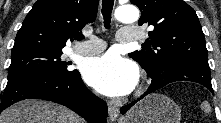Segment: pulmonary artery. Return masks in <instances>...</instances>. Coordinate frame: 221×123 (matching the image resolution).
<instances>
[{"instance_id": "obj_1", "label": "pulmonary artery", "mask_w": 221, "mask_h": 123, "mask_svg": "<svg viewBox=\"0 0 221 123\" xmlns=\"http://www.w3.org/2000/svg\"><path fill=\"white\" fill-rule=\"evenodd\" d=\"M140 39L139 32L133 28H122L119 30L117 40L120 43H132ZM106 48L103 40L92 37L74 47V52L80 55H94Z\"/></svg>"}]
</instances>
